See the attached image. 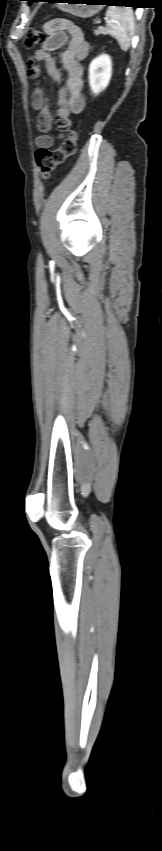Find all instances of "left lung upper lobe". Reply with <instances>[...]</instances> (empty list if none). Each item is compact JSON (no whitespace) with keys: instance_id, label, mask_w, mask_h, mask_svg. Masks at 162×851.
<instances>
[{"instance_id":"left-lung-upper-lobe-1","label":"left lung upper lobe","mask_w":162,"mask_h":851,"mask_svg":"<svg viewBox=\"0 0 162 851\" xmlns=\"http://www.w3.org/2000/svg\"><path fill=\"white\" fill-rule=\"evenodd\" d=\"M26 1H30V2H31V1H37V0H26Z\"/></svg>"}]
</instances>
